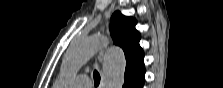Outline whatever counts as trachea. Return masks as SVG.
Listing matches in <instances>:
<instances>
[{"label": "trachea", "mask_w": 223, "mask_h": 88, "mask_svg": "<svg viewBox=\"0 0 223 88\" xmlns=\"http://www.w3.org/2000/svg\"><path fill=\"white\" fill-rule=\"evenodd\" d=\"M93 77H94L95 86H98L100 83V75H99L98 71H94Z\"/></svg>", "instance_id": "3493384b"}]
</instances>
